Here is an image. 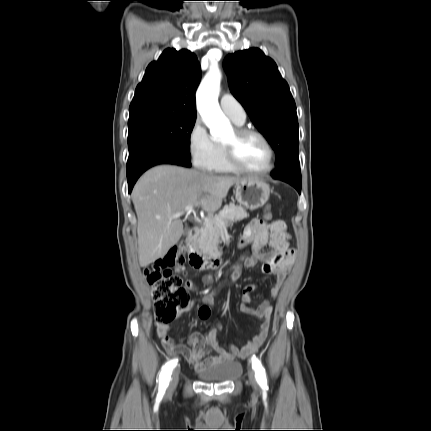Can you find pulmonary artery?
<instances>
[{
	"mask_svg": "<svg viewBox=\"0 0 431 431\" xmlns=\"http://www.w3.org/2000/svg\"><path fill=\"white\" fill-rule=\"evenodd\" d=\"M220 107L234 122L243 124L246 120V112L239 101L231 94H223L220 98Z\"/></svg>",
	"mask_w": 431,
	"mask_h": 431,
	"instance_id": "e3ab8cb5",
	"label": "pulmonary artery"
}]
</instances>
